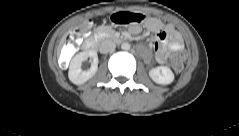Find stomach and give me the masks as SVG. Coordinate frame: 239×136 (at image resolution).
Segmentation results:
<instances>
[{"label":"stomach","mask_w":239,"mask_h":136,"mask_svg":"<svg viewBox=\"0 0 239 136\" xmlns=\"http://www.w3.org/2000/svg\"><path fill=\"white\" fill-rule=\"evenodd\" d=\"M144 22L145 15L141 13L116 12L112 14L113 24L134 25Z\"/></svg>","instance_id":"0dacf381"}]
</instances>
